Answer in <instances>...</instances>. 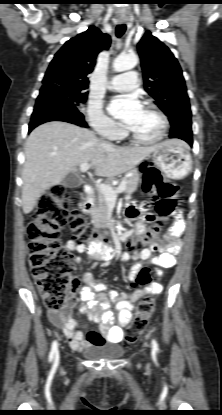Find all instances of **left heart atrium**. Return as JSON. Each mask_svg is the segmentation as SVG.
Wrapping results in <instances>:
<instances>
[{"label":"left heart atrium","mask_w":222,"mask_h":415,"mask_svg":"<svg viewBox=\"0 0 222 415\" xmlns=\"http://www.w3.org/2000/svg\"><path fill=\"white\" fill-rule=\"evenodd\" d=\"M141 104L136 96L124 95L115 97L108 106L109 112L129 126L141 111Z\"/></svg>","instance_id":"obj_1"}]
</instances>
